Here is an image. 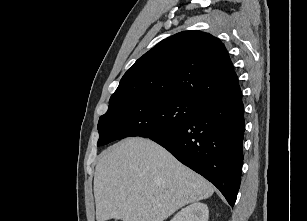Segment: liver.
<instances>
[{
	"label": "liver",
	"mask_w": 307,
	"mask_h": 221,
	"mask_svg": "<svg viewBox=\"0 0 307 221\" xmlns=\"http://www.w3.org/2000/svg\"><path fill=\"white\" fill-rule=\"evenodd\" d=\"M213 193L206 179L160 145L140 137L103 151L95 168L97 221H164Z\"/></svg>",
	"instance_id": "obj_1"
}]
</instances>
